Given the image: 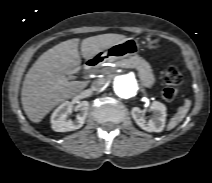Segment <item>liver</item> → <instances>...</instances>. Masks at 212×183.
Listing matches in <instances>:
<instances>
[{
  "label": "liver",
  "mask_w": 212,
  "mask_h": 183,
  "mask_svg": "<svg viewBox=\"0 0 212 183\" xmlns=\"http://www.w3.org/2000/svg\"><path fill=\"white\" fill-rule=\"evenodd\" d=\"M121 34H102L85 38L81 54L86 60L94 58L108 46L125 39ZM79 39L63 41L44 52L32 65L23 81L21 101L27 117L39 123L55 106L76 96L86 83L68 81L65 74L81 70Z\"/></svg>",
  "instance_id": "liver-1"
}]
</instances>
